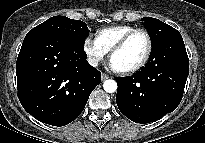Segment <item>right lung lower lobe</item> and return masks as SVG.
I'll return each instance as SVG.
<instances>
[{
  "label": "right lung lower lobe",
  "mask_w": 205,
  "mask_h": 143,
  "mask_svg": "<svg viewBox=\"0 0 205 143\" xmlns=\"http://www.w3.org/2000/svg\"><path fill=\"white\" fill-rule=\"evenodd\" d=\"M83 47L48 30L24 38L16 62L18 97L40 122L65 126L83 111L101 73L86 61Z\"/></svg>",
  "instance_id": "obj_1"
}]
</instances>
